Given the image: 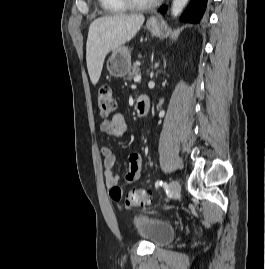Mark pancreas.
Instances as JSON below:
<instances>
[{"label": "pancreas", "instance_id": "obj_1", "mask_svg": "<svg viewBox=\"0 0 265 269\" xmlns=\"http://www.w3.org/2000/svg\"><path fill=\"white\" fill-rule=\"evenodd\" d=\"M139 63H134L131 72H129L128 79H132L133 77L137 76L139 74Z\"/></svg>", "mask_w": 265, "mask_h": 269}]
</instances>
